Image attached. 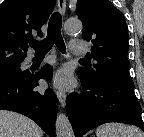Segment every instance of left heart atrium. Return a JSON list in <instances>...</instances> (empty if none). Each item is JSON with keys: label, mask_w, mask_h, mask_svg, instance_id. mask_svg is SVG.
<instances>
[{"label": "left heart atrium", "mask_w": 144, "mask_h": 137, "mask_svg": "<svg viewBox=\"0 0 144 137\" xmlns=\"http://www.w3.org/2000/svg\"><path fill=\"white\" fill-rule=\"evenodd\" d=\"M71 81V74L67 69L59 70L54 76V85L60 88H67Z\"/></svg>", "instance_id": "obj_1"}]
</instances>
